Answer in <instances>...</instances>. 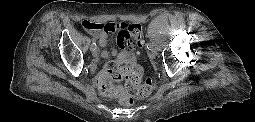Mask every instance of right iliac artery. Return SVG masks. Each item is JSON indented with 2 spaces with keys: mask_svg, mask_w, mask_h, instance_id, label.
I'll return each mask as SVG.
<instances>
[{
  "mask_svg": "<svg viewBox=\"0 0 255 122\" xmlns=\"http://www.w3.org/2000/svg\"><path fill=\"white\" fill-rule=\"evenodd\" d=\"M92 47H96L97 45H96V42L95 41H93V43H92V45H91Z\"/></svg>",
  "mask_w": 255,
  "mask_h": 122,
  "instance_id": "82829eb1",
  "label": "right iliac artery"
}]
</instances>
